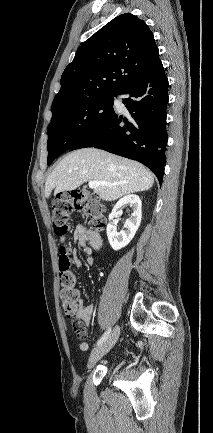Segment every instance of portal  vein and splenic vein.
Returning a JSON list of instances; mask_svg holds the SVG:
<instances>
[{"label": "portal vein and splenic vein", "instance_id": "portal-vein-and-splenic-vein-1", "mask_svg": "<svg viewBox=\"0 0 213 433\" xmlns=\"http://www.w3.org/2000/svg\"><path fill=\"white\" fill-rule=\"evenodd\" d=\"M88 185H89V188H91V189H96V188L99 187V186H108L109 184H108V183H105V182L90 181V182L88 183Z\"/></svg>", "mask_w": 213, "mask_h": 433}]
</instances>
